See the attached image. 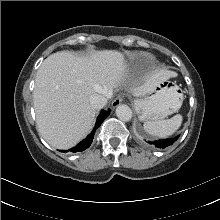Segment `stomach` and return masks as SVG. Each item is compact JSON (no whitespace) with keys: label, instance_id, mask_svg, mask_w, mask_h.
Returning a JSON list of instances; mask_svg holds the SVG:
<instances>
[{"label":"stomach","instance_id":"1","mask_svg":"<svg viewBox=\"0 0 220 220\" xmlns=\"http://www.w3.org/2000/svg\"><path fill=\"white\" fill-rule=\"evenodd\" d=\"M179 87L171 81L158 83L147 95L135 100L136 110L141 121L160 120L177 112L183 96Z\"/></svg>","mask_w":220,"mask_h":220}]
</instances>
